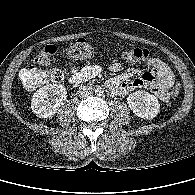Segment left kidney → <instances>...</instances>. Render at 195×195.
<instances>
[{"label":"left kidney","instance_id":"obj_1","mask_svg":"<svg viewBox=\"0 0 195 195\" xmlns=\"http://www.w3.org/2000/svg\"><path fill=\"white\" fill-rule=\"evenodd\" d=\"M127 104L136 116L143 119H153L160 111L158 99L146 91L131 93L127 98Z\"/></svg>","mask_w":195,"mask_h":195}]
</instances>
